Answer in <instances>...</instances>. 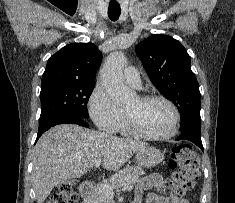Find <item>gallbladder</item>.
I'll use <instances>...</instances> for the list:
<instances>
[{
	"instance_id": "gallbladder-1",
	"label": "gallbladder",
	"mask_w": 235,
	"mask_h": 203,
	"mask_svg": "<svg viewBox=\"0 0 235 203\" xmlns=\"http://www.w3.org/2000/svg\"><path fill=\"white\" fill-rule=\"evenodd\" d=\"M61 184L62 185H72V184H76V182L73 179H69V180H62Z\"/></svg>"
}]
</instances>
